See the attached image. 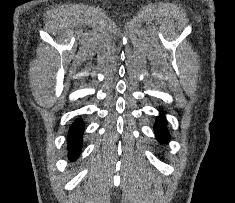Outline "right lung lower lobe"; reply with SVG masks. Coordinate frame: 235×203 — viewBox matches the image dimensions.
I'll list each match as a JSON object with an SVG mask.
<instances>
[{
    "label": "right lung lower lobe",
    "instance_id": "right-lung-lower-lobe-1",
    "mask_svg": "<svg viewBox=\"0 0 235 203\" xmlns=\"http://www.w3.org/2000/svg\"><path fill=\"white\" fill-rule=\"evenodd\" d=\"M83 132V123L80 119H77L70 127L68 134V151L69 158L75 159L79 153L82 146L81 136Z\"/></svg>",
    "mask_w": 235,
    "mask_h": 203
}]
</instances>
